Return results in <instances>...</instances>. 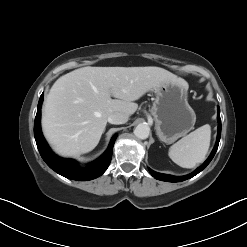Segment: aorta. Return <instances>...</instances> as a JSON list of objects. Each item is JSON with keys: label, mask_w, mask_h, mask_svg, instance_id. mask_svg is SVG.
<instances>
[{"label": "aorta", "mask_w": 247, "mask_h": 247, "mask_svg": "<svg viewBox=\"0 0 247 247\" xmlns=\"http://www.w3.org/2000/svg\"><path fill=\"white\" fill-rule=\"evenodd\" d=\"M149 133L150 127L144 123L138 124L134 129V135L142 140L148 138Z\"/></svg>", "instance_id": "aorta-1"}]
</instances>
